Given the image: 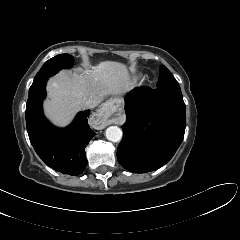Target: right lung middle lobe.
Segmentation results:
<instances>
[{
	"mask_svg": "<svg viewBox=\"0 0 240 240\" xmlns=\"http://www.w3.org/2000/svg\"><path fill=\"white\" fill-rule=\"evenodd\" d=\"M72 63L73 57L68 54H60L49 59L35 76L30 90L36 88L40 83L56 74L59 70L69 68Z\"/></svg>",
	"mask_w": 240,
	"mask_h": 240,
	"instance_id": "right-lung-middle-lobe-1",
	"label": "right lung middle lobe"
}]
</instances>
